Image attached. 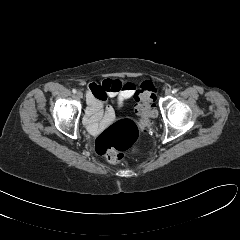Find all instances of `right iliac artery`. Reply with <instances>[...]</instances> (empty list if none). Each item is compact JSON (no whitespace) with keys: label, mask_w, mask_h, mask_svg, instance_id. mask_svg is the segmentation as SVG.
Returning <instances> with one entry per match:
<instances>
[{"label":"right iliac artery","mask_w":240,"mask_h":240,"mask_svg":"<svg viewBox=\"0 0 240 240\" xmlns=\"http://www.w3.org/2000/svg\"><path fill=\"white\" fill-rule=\"evenodd\" d=\"M72 92H73V93H76L77 91H76V89H73Z\"/></svg>","instance_id":"82829eb1"}]
</instances>
